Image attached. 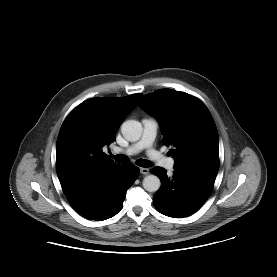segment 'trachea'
Masks as SVG:
<instances>
[{"label": "trachea", "instance_id": "3493384b", "mask_svg": "<svg viewBox=\"0 0 277 277\" xmlns=\"http://www.w3.org/2000/svg\"><path fill=\"white\" fill-rule=\"evenodd\" d=\"M112 158L119 163H126L128 161V158L123 154H117V155H111ZM138 166L141 167H150L152 163L146 159H139L137 162Z\"/></svg>", "mask_w": 277, "mask_h": 277}]
</instances>
